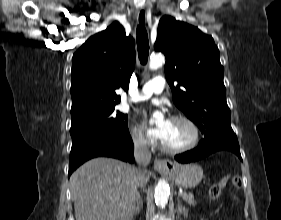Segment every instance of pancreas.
I'll use <instances>...</instances> for the list:
<instances>
[{
	"mask_svg": "<svg viewBox=\"0 0 281 220\" xmlns=\"http://www.w3.org/2000/svg\"><path fill=\"white\" fill-rule=\"evenodd\" d=\"M183 200L190 206H195L196 205V201L194 198V195L191 193H184L183 194Z\"/></svg>",
	"mask_w": 281,
	"mask_h": 220,
	"instance_id": "pancreas-1",
	"label": "pancreas"
}]
</instances>
